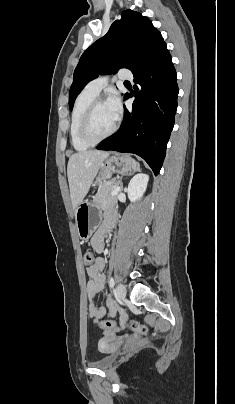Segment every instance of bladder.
<instances>
[{"mask_svg":"<svg viewBox=\"0 0 235 404\" xmlns=\"http://www.w3.org/2000/svg\"><path fill=\"white\" fill-rule=\"evenodd\" d=\"M100 349L102 350V352H106L108 354H106V355L102 356L101 358H99L98 360L94 361L92 363V365L99 369H108L111 366H113V364L116 362V360L118 358L117 350L116 349L108 350L102 346H100Z\"/></svg>","mask_w":235,"mask_h":404,"instance_id":"obj_1","label":"bladder"}]
</instances>
